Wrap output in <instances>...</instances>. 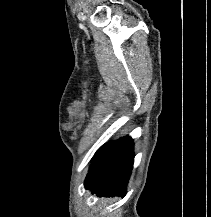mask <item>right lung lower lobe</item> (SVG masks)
Instances as JSON below:
<instances>
[{"instance_id":"1","label":"right lung lower lobe","mask_w":211,"mask_h":217,"mask_svg":"<svg viewBox=\"0 0 211 217\" xmlns=\"http://www.w3.org/2000/svg\"><path fill=\"white\" fill-rule=\"evenodd\" d=\"M133 148V140L129 136L102 146L93 157L85 188L98 196L124 197L133 168Z\"/></svg>"}]
</instances>
